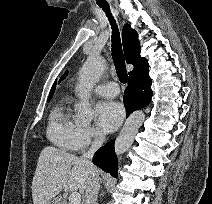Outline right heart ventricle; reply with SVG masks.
Here are the masks:
<instances>
[{
    "label": "right heart ventricle",
    "instance_id": "obj_1",
    "mask_svg": "<svg viewBox=\"0 0 212 204\" xmlns=\"http://www.w3.org/2000/svg\"><path fill=\"white\" fill-rule=\"evenodd\" d=\"M80 128L73 118L67 100L59 102L51 111L47 127L48 139L60 149L73 151Z\"/></svg>",
    "mask_w": 212,
    "mask_h": 204
}]
</instances>
